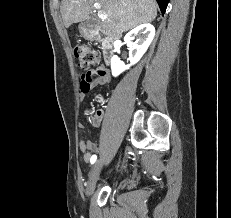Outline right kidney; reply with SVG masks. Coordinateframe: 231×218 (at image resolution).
Here are the masks:
<instances>
[{
  "label": "right kidney",
  "instance_id": "right-kidney-1",
  "mask_svg": "<svg viewBox=\"0 0 231 218\" xmlns=\"http://www.w3.org/2000/svg\"><path fill=\"white\" fill-rule=\"evenodd\" d=\"M154 35L155 28L149 23L139 25L127 33L124 37V41L129 49L130 64L125 65L117 55H114L111 59L112 75L116 77L126 69H129L130 66L136 64L147 51ZM135 36L139 37L136 41H134Z\"/></svg>",
  "mask_w": 231,
  "mask_h": 218
}]
</instances>
